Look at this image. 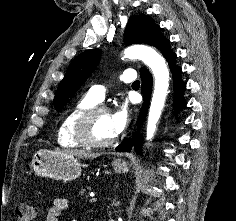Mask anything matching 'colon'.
I'll return each instance as SVG.
<instances>
[{"mask_svg": "<svg viewBox=\"0 0 236 221\" xmlns=\"http://www.w3.org/2000/svg\"><path fill=\"white\" fill-rule=\"evenodd\" d=\"M37 209L31 203H21L16 209L17 221H35Z\"/></svg>", "mask_w": 236, "mask_h": 221, "instance_id": "obj_1", "label": "colon"}]
</instances>
